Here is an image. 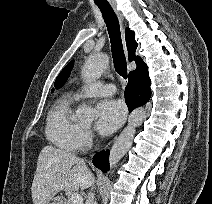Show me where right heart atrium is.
Segmentation results:
<instances>
[{
    "mask_svg": "<svg viewBox=\"0 0 212 204\" xmlns=\"http://www.w3.org/2000/svg\"><path fill=\"white\" fill-rule=\"evenodd\" d=\"M92 142V133L89 129L83 128L79 136V148H86Z\"/></svg>",
    "mask_w": 212,
    "mask_h": 204,
    "instance_id": "right-heart-atrium-1",
    "label": "right heart atrium"
}]
</instances>
